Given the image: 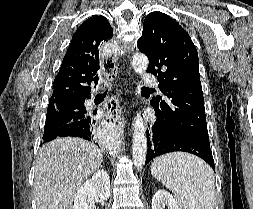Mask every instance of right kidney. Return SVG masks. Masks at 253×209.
<instances>
[{
    "label": "right kidney",
    "mask_w": 253,
    "mask_h": 209,
    "mask_svg": "<svg viewBox=\"0 0 253 209\" xmlns=\"http://www.w3.org/2000/svg\"><path fill=\"white\" fill-rule=\"evenodd\" d=\"M109 197V175L104 170H98L78 189L74 197L73 209H93L96 198L107 200Z\"/></svg>",
    "instance_id": "1"
}]
</instances>
